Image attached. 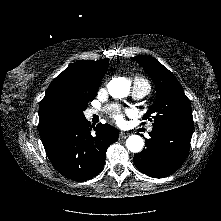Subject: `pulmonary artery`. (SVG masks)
Returning a JSON list of instances; mask_svg holds the SVG:
<instances>
[{
  "label": "pulmonary artery",
  "mask_w": 221,
  "mask_h": 221,
  "mask_svg": "<svg viewBox=\"0 0 221 221\" xmlns=\"http://www.w3.org/2000/svg\"><path fill=\"white\" fill-rule=\"evenodd\" d=\"M149 92V87L147 86H141V85H134L132 90V96L134 99L139 100L142 99L144 96H146ZM111 107H115L112 105ZM98 113V110L92 109L89 110L88 115L92 116L94 114ZM149 131H152V128H149Z\"/></svg>",
  "instance_id": "e3ab8cb5"
}]
</instances>
